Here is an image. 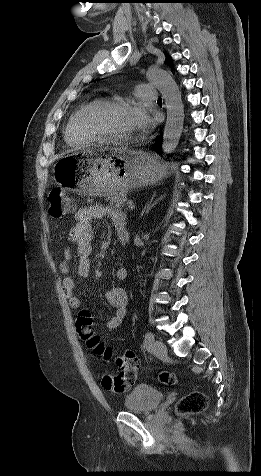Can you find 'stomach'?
Wrapping results in <instances>:
<instances>
[{
	"label": "stomach",
	"mask_w": 261,
	"mask_h": 476,
	"mask_svg": "<svg viewBox=\"0 0 261 476\" xmlns=\"http://www.w3.org/2000/svg\"><path fill=\"white\" fill-rule=\"evenodd\" d=\"M56 179L64 190L78 195H124L129 189L153 185L167 175V167L157 157L130 148L78 151V156H61L56 164Z\"/></svg>",
	"instance_id": "0dacf381"
}]
</instances>
